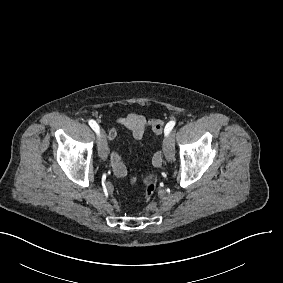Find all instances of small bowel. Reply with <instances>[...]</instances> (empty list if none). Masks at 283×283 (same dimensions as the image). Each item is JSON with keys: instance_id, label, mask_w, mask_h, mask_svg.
Segmentation results:
<instances>
[{"instance_id": "1", "label": "small bowel", "mask_w": 283, "mask_h": 283, "mask_svg": "<svg viewBox=\"0 0 283 283\" xmlns=\"http://www.w3.org/2000/svg\"><path fill=\"white\" fill-rule=\"evenodd\" d=\"M116 123L119 127H123L127 130H129L132 134V137L139 141L142 140L144 137L145 131L147 128H150L151 131L157 135L160 136L163 133V126L162 123L159 121H147L144 115L139 113H129L125 116H121L117 118ZM119 127H114L109 130L107 134V138L110 141L115 140L119 135ZM110 164L112 167V171L114 175L118 178H123L124 182L128 181V178L125 177L127 175V168L124 163V161L121 159L119 153L116 150H111L110 155ZM163 162V156L160 151H156L152 156V164L154 167L159 168L162 165ZM135 172L139 171L138 167L134 168ZM142 181L138 180L137 182H129V187H137L138 185H141Z\"/></svg>"}]
</instances>
